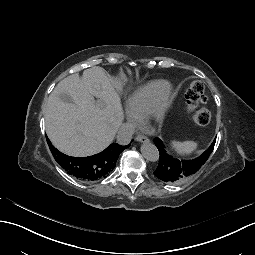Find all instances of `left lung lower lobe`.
<instances>
[{
    "instance_id": "0a47b994",
    "label": "left lung lower lobe",
    "mask_w": 255,
    "mask_h": 255,
    "mask_svg": "<svg viewBox=\"0 0 255 255\" xmlns=\"http://www.w3.org/2000/svg\"><path fill=\"white\" fill-rule=\"evenodd\" d=\"M153 142L158 149V155L156 156L158 165L151 171V175L165 181L168 185L185 181L195 174L208 162L211 153L217 147V144L212 142L206 150L201 152V157L179 160L165 151L164 144L158 137H155Z\"/></svg>"
}]
</instances>
